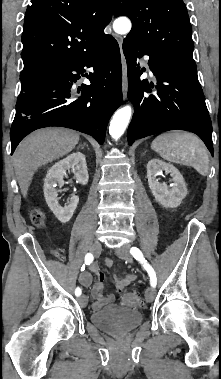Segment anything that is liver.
<instances>
[{"mask_svg": "<svg viewBox=\"0 0 221 379\" xmlns=\"http://www.w3.org/2000/svg\"><path fill=\"white\" fill-rule=\"evenodd\" d=\"M79 139V134L69 129L45 128L33 132L18 145L13 162L23 197L27 196L35 171L71 152Z\"/></svg>", "mask_w": 221, "mask_h": 379, "instance_id": "6515ba94", "label": "liver"}]
</instances>
